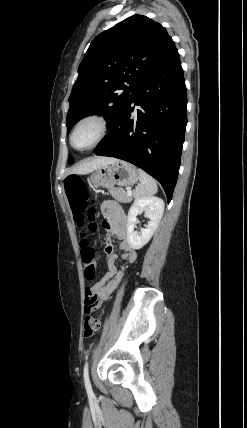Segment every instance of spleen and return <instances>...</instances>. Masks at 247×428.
Listing matches in <instances>:
<instances>
[{
	"instance_id": "1",
	"label": "spleen",
	"mask_w": 247,
	"mask_h": 428,
	"mask_svg": "<svg viewBox=\"0 0 247 428\" xmlns=\"http://www.w3.org/2000/svg\"><path fill=\"white\" fill-rule=\"evenodd\" d=\"M138 173L140 185L135 189L133 193L134 197H149L157 193L156 181L142 169H138Z\"/></svg>"
}]
</instances>
